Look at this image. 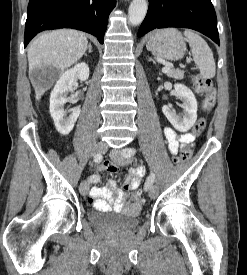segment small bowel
<instances>
[{"label": "small bowel", "instance_id": "small-bowel-1", "mask_svg": "<svg viewBox=\"0 0 247 275\" xmlns=\"http://www.w3.org/2000/svg\"><path fill=\"white\" fill-rule=\"evenodd\" d=\"M164 135L168 142L169 151L172 154H176L186 144H192L195 140V135L193 133L187 132L178 135L171 127H166L164 129ZM100 169L112 173L118 171V167L114 165H112L110 169L104 166ZM142 176L143 169L141 167L134 168L130 171L129 179L124 182L122 188H118L114 181H109L103 187L92 188L88 201L99 210H110L112 208L111 204L114 202V207L116 209L136 213L139 211L140 205L127 202V191L136 190L140 186Z\"/></svg>", "mask_w": 247, "mask_h": 275}]
</instances>
